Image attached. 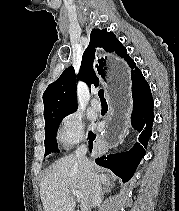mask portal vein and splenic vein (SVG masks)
I'll return each mask as SVG.
<instances>
[{
    "label": "portal vein and splenic vein",
    "mask_w": 179,
    "mask_h": 211,
    "mask_svg": "<svg viewBox=\"0 0 179 211\" xmlns=\"http://www.w3.org/2000/svg\"><path fill=\"white\" fill-rule=\"evenodd\" d=\"M71 193L75 196V197H77V198H79V199H81L83 196H82V193L81 192H79V191H77V190H71Z\"/></svg>",
    "instance_id": "obj_1"
}]
</instances>
